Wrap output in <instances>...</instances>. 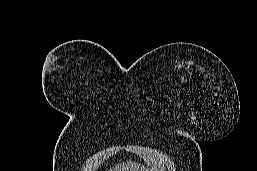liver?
Here are the masks:
<instances>
[{"instance_id": "1", "label": "liver", "mask_w": 257, "mask_h": 171, "mask_svg": "<svg viewBox=\"0 0 257 171\" xmlns=\"http://www.w3.org/2000/svg\"><path fill=\"white\" fill-rule=\"evenodd\" d=\"M108 171H153L145 168L141 164H136L135 162H127L116 165L113 169H109Z\"/></svg>"}]
</instances>
